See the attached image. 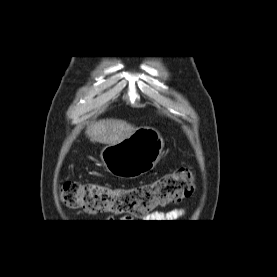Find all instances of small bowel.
Segmentation results:
<instances>
[{
  "mask_svg": "<svg viewBox=\"0 0 277 277\" xmlns=\"http://www.w3.org/2000/svg\"><path fill=\"white\" fill-rule=\"evenodd\" d=\"M184 213V209L174 208L166 212H153L149 215L148 219L151 220V222H176Z\"/></svg>",
  "mask_w": 277,
  "mask_h": 277,
  "instance_id": "small-bowel-1",
  "label": "small bowel"
}]
</instances>
